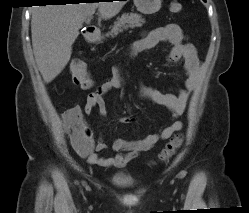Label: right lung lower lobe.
I'll use <instances>...</instances> for the list:
<instances>
[{
	"mask_svg": "<svg viewBox=\"0 0 249 213\" xmlns=\"http://www.w3.org/2000/svg\"><path fill=\"white\" fill-rule=\"evenodd\" d=\"M75 1H78V0H47V2L56 3L58 5L59 4L69 3V2H75Z\"/></svg>",
	"mask_w": 249,
	"mask_h": 213,
	"instance_id": "obj_1",
	"label": "right lung lower lobe"
}]
</instances>
